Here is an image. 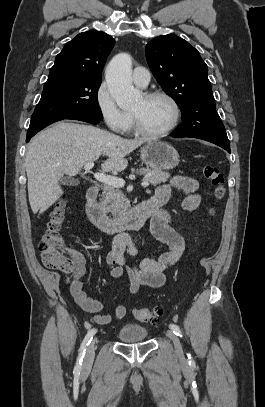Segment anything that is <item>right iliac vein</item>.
<instances>
[{"label":"right iliac vein","mask_w":265,"mask_h":407,"mask_svg":"<svg viewBox=\"0 0 265 407\" xmlns=\"http://www.w3.org/2000/svg\"><path fill=\"white\" fill-rule=\"evenodd\" d=\"M95 356V340L90 343L87 348L86 355H85V366L90 365Z\"/></svg>","instance_id":"1"}]
</instances>
